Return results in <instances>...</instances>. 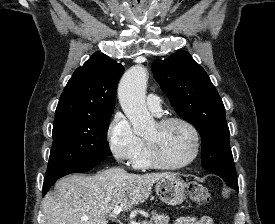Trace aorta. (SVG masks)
Returning <instances> with one entry per match:
<instances>
[{"mask_svg": "<svg viewBox=\"0 0 275 224\" xmlns=\"http://www.w3.org/2000/svg\"><path fill=\"white\" fill-rule=\"evenodd\" d=\"M146 86V69L134 66L124 74L118 88L120 105L137 135L143 134L153 124L145 102Z\"/></svg>", "mask_w": 275, "mask_h": 224, "instance_id": "1", "label": "aorta"}]
</instances>
